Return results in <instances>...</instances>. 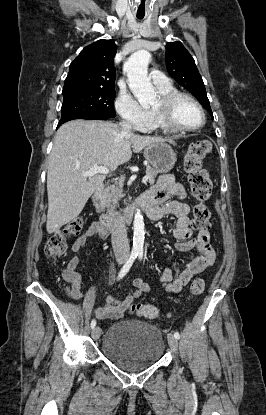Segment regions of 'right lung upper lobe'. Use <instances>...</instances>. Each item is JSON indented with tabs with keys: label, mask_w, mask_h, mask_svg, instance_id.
Wrapping results in <instances>:
<instances>
[{
	"label": "right lung upper lobe",
	"mask_w": 266,
	"mask_h": 415,
	"mask_svg": "<svg viewBox=\"0 0 266 415\" xmlns=\"http://www.w3.org/2000/svg\"><path fill=\"white\" fill-rule=\"evenodd\" d=\"M116 44L113 40H98L85 47L70 64L63 92L84 89L114 87V56Z\"/></svg>",
	"instance_id": "cb5924a9"
}]
</instances>
